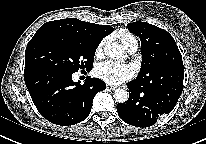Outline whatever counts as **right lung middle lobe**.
Masks as SVG:
<instances>
[{
    "mask_svg": "<svg viewBox=\"0 0 206 144\" xmlns=\"http://www.w3.org/2000/svg\"><path fill=\"white\" fill-rule=\"evenodd\" d=\"M98 45L66 31L39 28L26 47L25 70L46 67L74 73L92 68Z\"/></svg>",
    "mask_w": 206,
    "mask_h": 144,
    "instance_id": "obj_1",
    "label": "right lung middle lobe"
}]
</instances>
